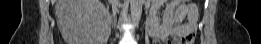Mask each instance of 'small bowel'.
I'll return each mask as SVG.
<instances>
[{
  "label": "small bowel",
  "mask_w": 261,
  "mask_h": 44,
  "mask_svg": "<svg viewBox=\"0 0 261 44\" xmlns=\"http://www.w3.org/2000/svg\"><path fill=\"white\" fill-rule=\"evenodd\" d=\"M171 1L164 9L162 23L158 13L163 5L162 1L153 2L149 13V35L157 43L192 44L195 39L198 24V8L191 2ZM186 20V22H184ZM182 41V43L180 42Z\"/></svg>",
  "instance_id": "1"
}]
</instances>
